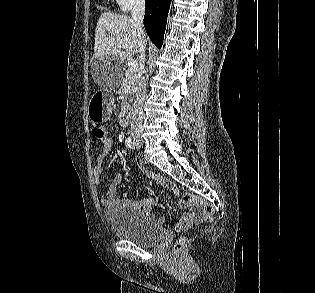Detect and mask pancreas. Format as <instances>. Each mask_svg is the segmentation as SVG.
I'll return each instance as SVG.
<instances>
[{
    "label": "pancreas",
    "mask_w": 315,
    "mask_h": 293,
    "mask_svg": "<svg viewBox=\"0 0 315 293\" xmlns=\"http://www.w3.org/2000/svg\"><path fill=\"white\" fill-rule=\"evenodd\" d=\"M137 73H128L126 74L125 79L121 83V87L119 89V94L122 96V107H126V99L128 96L134 93V84ZM129 107V106H128Z\"/></svg>",
    "instance_id": "obj_1"
}]
</instances>
